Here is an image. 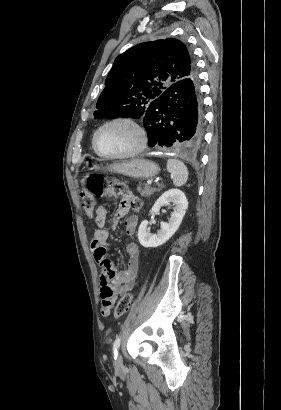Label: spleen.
I'll list each match as a JSON object with an SVG mask.
<instances>
[{
  "label": "spleen",
  "mask_w": 281,
  "mask_h": 410,
  "mask_svg": "<svg viewBox=\"0 0 281 410\" xmlns=\"http://www.w3.org/2000/svg\"><path fill=\"white\" fill-rule=\"evenodd\" d=\"M167 171L170 173L175 186H182L187 182L188 169L185 164L177 159H168Z\"/></svg>",
  "instance_id": "spleen-1"
}]
</instances>
